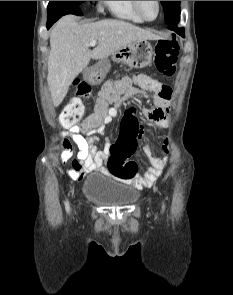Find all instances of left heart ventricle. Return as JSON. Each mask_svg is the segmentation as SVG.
I'll return each instance as SVG.
<instances>
[{
    "mask_svg": "<svg viewBox=\"0 0 233 295\" xmlns=\"http://www.w3.org/2000/svg\"><path fill=\"white\" fill-rule=\"evenodd\" d=\"M140 9L146 18L153 19L157 14L156 1H139Z\"/></svg>",
    "mask_w": 233,
    "mask_h": 295,
    "instance_id": "b2bd125f",
    "label": "left heart ventricle"
}]
</instances>
